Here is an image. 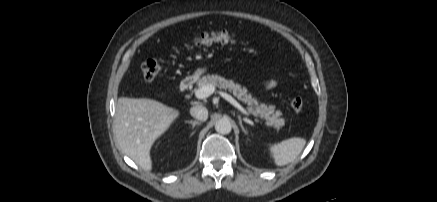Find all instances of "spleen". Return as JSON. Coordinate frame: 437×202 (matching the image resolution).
<instances>
[{"label": "spleen", "mask_w": 437, "mask_h": 202, "mask_svg": "<svg viewBox=\"0 0 437 202\" xmlns=\"http://www.w3.org/2000/svg\"><path fill=\"white\" fill-rule=\"evenodd\" d=\"M306 140L300 137H292L269 146L270 153L277 166H284L293 162L305 147Z\"/></svg>", "instance_id": "spleen-1"}]
</instances>
